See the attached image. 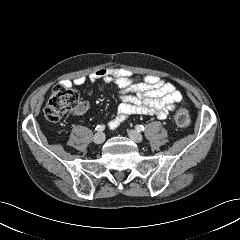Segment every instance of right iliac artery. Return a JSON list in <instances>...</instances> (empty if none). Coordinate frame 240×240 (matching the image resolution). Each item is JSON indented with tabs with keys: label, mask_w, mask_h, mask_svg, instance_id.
Wrapping results in <instances>:
<instances>
[{
	"label": "right iliac artery",
	"mask_w": 240,
	"mask_h": 240,
	"mask_svg": "<svg viewBox=\"0 0 240 240\" xmlns=\"http://www.w3.org/2000/svg\"><path fill=\"white\" fill-rule=\"evenodd\" d=\"M104 129H105V125H98L95 130L99 132V131H103Z\"/></svg>",
	"instance_id": "right-iliac-artery-1"
}]
</instances>
